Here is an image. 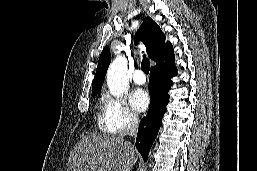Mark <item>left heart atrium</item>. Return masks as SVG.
<instances>
[{"label":"left heart atrium","mask_w":257,"mask_h":171,"mask_svg":"<svg viewBox=\"0 0 257 171\" xmlns=\"http://www.w3.org/2000/svg\"><path fill=\"white\" fill-rule=\"evenodd\" d=\"M133 108L138 112L145 111L150 103L148 94L143 90H136L130 96Z\"/></svg>","instance_id":"39dd6f15"}]
</instances>
